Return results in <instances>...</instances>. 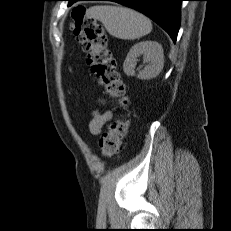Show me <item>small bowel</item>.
<instances>
[{
    "label": "small bowel",
    "instance_id": "small-bowel-1",
    "mask_svg": "<svg viewBox=\"0 0 231 231\" xmlns=\"http://www.w3.org/2000/svg\"><path fill=\"white\" fill-rule=\"evenodd\" d=\"M111 117L112 114L109 111L104 113L98 111L93 112L88 124L90 133L93 135H100L104 130L105 124L111 119Z\"/></svg>",
    "mask_w": 231,
    "mask_h": 231
}]
</instances>
